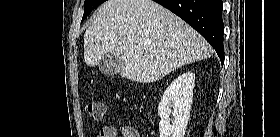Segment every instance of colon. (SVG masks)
<instances>
[{
  "label": "colon",
  "mask_w": 280,
  "mask_h": 137,
  "mask_svg": "<svg viewBox=\"0 0 280 137\" xmlns=\"http://www.w3.org/2000/svg\"><path fill=\"white\" fill-rule=\"evenodd\" d=\"M87 112L96 121H101L105 114V105L102 102L93 101L87 104Z\"/></svg>",
  "instance_id": "5ec220e1"
}]
</instances>
